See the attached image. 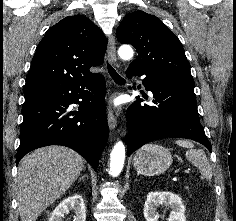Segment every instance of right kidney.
<instances>
[{"label": "right kidney", "instance_id": "right-kidney-1", "mask_svg": "<svg viewBox=\"0 0 236 221\" xmlns=\"http://www.w3.org/2000/svg\"><path fill=\"white\" fill-rule=\"evenodd\" d=\"M69 211L75 213L73 221H86V207L80 194H74L64 199L56 206L48 221H62L64 214Z\"/></svg>", "mask_w": 236, "mask_h": 221}]
</instances>
